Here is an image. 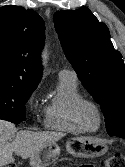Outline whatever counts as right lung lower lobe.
<instances>
[{"instance_id": "obj_1", "label": "right lung lower lobe", "mask_w": 125, "mask_h": 167, "mask_svg": "<svg viewBox=\"0 0 125 167\" xmlns=\"http://www.w3.org/2000/svg\"><path fill=\"white\" fill-rule=\"evenodd\" d=\"M0 119L10 121V120H8V119H6V118H3V117H0ZM10 122H11V121H10ZM12 123H13V122H12Z\"/></svg>"}]
</instances>
